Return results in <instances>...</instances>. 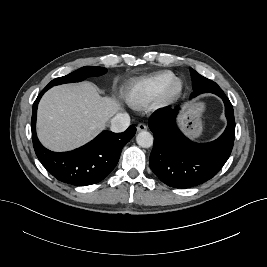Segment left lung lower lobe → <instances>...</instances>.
<instances>
[{"mask_svg":"<svg viewBox=\"0 0 267 267\" xmlns=\"http://www.w3.org/2000/svg\"><path fill=\"white\" fill-rule=\"evenodd\" d=\"M211 92L223 99L228 121L223 134L215 141L199 144L186 138L176 125L179 108L155 112L148 120L154 134L149 164L156 176L174 188H191L213 178L228 160L235 138L233 107L221 90L206 88L191 94Z\"/></svg>","mask_w":267,"mask_h":267,"instance_id":"obj_1","label":"left lung lower lobe"}]
</instances>
